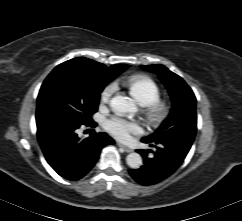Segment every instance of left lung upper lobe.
Wrapping results in <instances>:
<instances>
[{"label": "left lung upper lobe", "instance_id": "5c2ea615", "mask_svg": "<svg viewBox=\"0 0 242 221\" xmlns=\"http://www.w3.org/2000/svg\"><path fill=\"white\" fill-rule=\"evenodd\" d=\"M156 73L167 87L172 103L167 119L155 133L142 139L147 142L178 140L192 144L197 131L196 98L185 81L163 65H141Z\"/></svg>", "mask_w": 242, "mask_h": 221}]
</instances>
